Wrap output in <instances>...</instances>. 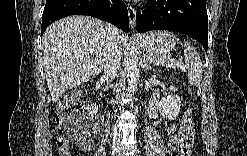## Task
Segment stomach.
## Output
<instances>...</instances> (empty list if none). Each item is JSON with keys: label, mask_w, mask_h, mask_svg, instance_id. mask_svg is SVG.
Returning a JSON list of instances; mask_svg holds the SVG:
<instances>
[{"label": "stomach", "mask_w": 247, "mask_h": 156, "mask_svg": "<svg viewBox=\"0 0 247 156\" xmlns=\"http://www.w3.org/2000/svg\"><path fill=\"white\" fill-rule=\"evenodd\" d=\"M176 44V36L168 31H154L142 37V47L150 55H168Z\"/></svg>", "instance_id": "obj_1"}]
</instances>
